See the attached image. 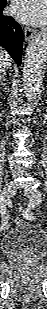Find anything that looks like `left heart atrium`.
Listing matches in <instances>:
<instances>
[{"mask_svg":"<svg viewBox=\"0 0 47 309\" xmlns=\"http://www.w3.org/2000/svg\"><path fill=\"white\" fill-rule=\"evenodd\" d=\"M11 11L22 23L40 25L46 21L45 0H14Z\"/></svg>","mask_w":47,"mask_h":309,"instance_id":"1","label":"left heart atrium"}]
</instances>
